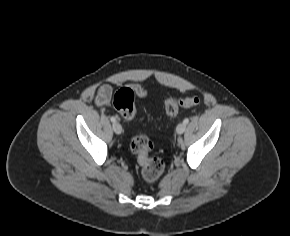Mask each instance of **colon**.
Wrapping results in <instances>:
<instances>
[{
  "mask_svg": "<svg viewBox=\"0 0 290 236\" xmlns=\"http://www.w3.org/2000/svg\"><path fill=\"white\" fill-rule=\"evenodd\" d=\"M135 93V88L123 87L115 94L114 106L126 120H133L137 115L134 106ZM199 103L200 99L197 96H171L165 101V113L168 117H174L179 108H189ZM130 148L141 166L143 179L147 183L158 180L164 171V162L161 158L150 154L153 148L151 140L145 135H136L131 140Z\"/></svg>",
  "mask_w": 290,
  "mask_h": 236,
  "instance_id": "1",
  "label": "colon"
}]
</instances>
